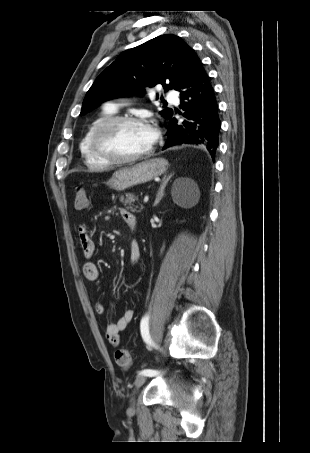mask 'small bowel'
I'll use <instances>...</instances> for the list:
<instances>
[{
  "mask_svg": "<svg viewBox=\"0 0 310 453\" xmlns=\"http://www.w3.org/2000/svg\"><path fill=\"white\" fill-rule=\"evenodd\" d=\"M121 215L130 230H134L137 227V218L136 216L125 210H121ZM78 238L82 250L83 256L87 261L83 264L82 272L88 281L96 282L100 278V271L98 267L90 261L94 255L95 244L89 233L88 228L85 225H80L78 228ZM141 256V249L139 243L134 240L130 245V259L132 264H135ZM95 311L99 315H104L106 310L104 305L100 301L95 303ZM134 317V310L129 308L126 309L123 314L115 321L111 322L106 326L105 335L109 342L114 346L119 344V333L127 328L129 323Z\"/></svg>",
  "mask_w": 310,
  "mask_h": 453,
  "instance_id": "1",
  "label": "small bowel"
}]
</instances>
